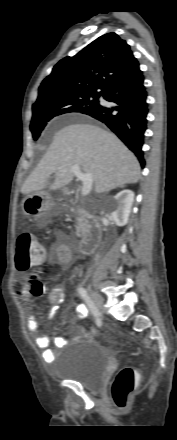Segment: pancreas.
<instances>
[{
	"label": "pancreas",
	"instance_id": "1",
	"mask_svg": "<svg viewBox=\"0 0 177 440\" xmlns=\"http://www.w3.org/2000/svg\"><path fill=\"white\" fill-rule=\"evenodd\" d=\"M76 227V235L81 236L86 233L87 231V222L83 218H77V223L75 225Z\"/></svg>",
	"mask_w": 177,
	"mask_h": 440
}]
</instances>
